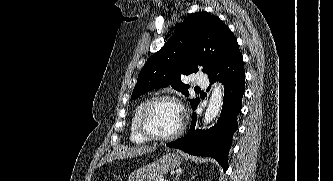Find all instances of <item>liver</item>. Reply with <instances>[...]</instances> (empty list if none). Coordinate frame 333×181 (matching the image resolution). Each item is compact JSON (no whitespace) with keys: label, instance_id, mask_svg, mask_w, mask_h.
<instances>
[{"label":"liver","instance_id":"obj_1","mask_svg":"<svg viewBox=\"0 0 333 181\" xmlns=\"http://www.w3.org/2000/svg\"><path fill=\"white\" fill-rule=\"evenodd\" d=\"M156 150V146H137V147H120L114 150L112 153L106 155L98 166H102L103 164L110 162L116 159H126V158H134L137 156H141L143 154L154 152Z\"/></svg>","mask_w":333,"mask_h":181}]
</instances>
